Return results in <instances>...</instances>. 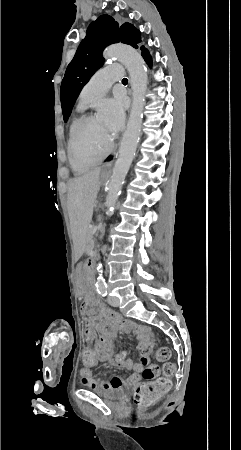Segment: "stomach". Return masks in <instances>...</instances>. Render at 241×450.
Segmentation results:
<instances>
[{
    "mask_svg": "<svg viewBox=\"0 0 241 450\" xmlns=\"http://www.w3.org/2000/svg\"><path fill=\"white\" fill-rule=\"evenodd\" d=\"M102 179L105 178V175L103 174L101 176ZM84 271H83V267L82 264H79L77 266V273H76V286L78 287V289L83 292L84 290Z\"/></svg>",
    "mask_w": 241,
    "mask_h": 450,
    "instance_id": "stomach-1",
    "label": "stomach"
}]
</instances>
